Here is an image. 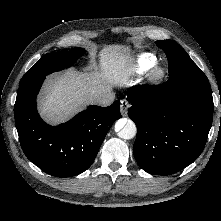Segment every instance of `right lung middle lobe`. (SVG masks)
Instances as JSON below:
<instances>
[{"label": "right lung middle lobe", "instance_id": "1", "mask_svg": "<svg viewBox=\"0 0 221 221\" xmlns=\"http://www.w3.org/2000/svg\"><path fill=\"white\" fill-rule=\"evenodd\" d=\"M85 50L83 48H73L68 52L48 53L43 56L20 81V84L36 80L40 77L70 67L74 61L83 55Z\"/></svg>", "mask_w": 221, "mask_h": 221}]
</instances>
